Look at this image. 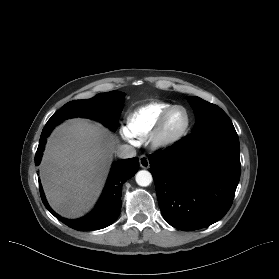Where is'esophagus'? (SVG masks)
<instances>
[{
  "label": "esophagus",
  "instance_id": "esophagus-1",
  "mask_svg": "<svg viewBox=\"0 0 279 279\" xmlns=\"http://www.w3.org/2000/svg\"><path fill=\"white\" fill-rule=\"evenodd\" d=\"M139 163H140V166L144 169H147L150 166L149 159L145 155L140 156Z\"/></svg>",
  "mask_w": 279,
  "mask_h": 279
}]
</instances>
